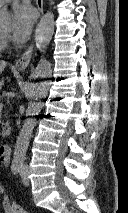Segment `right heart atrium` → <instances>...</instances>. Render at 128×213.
<instances>
[{"label":"right heart atrium","mask_w":128,"mask_h":213,"mask_svg":"<svg viewBox=\"0 0 128 213\" xmlns=\"http://www.w3.org/2000/svg\"><path fill=\"white\" fill-rule=\"evenodd\" d=\"M6 43L5 39H2V46Z\"/></svg>","instance_id":"right-heart-atrium-1"}]
</instances>
